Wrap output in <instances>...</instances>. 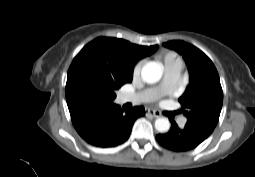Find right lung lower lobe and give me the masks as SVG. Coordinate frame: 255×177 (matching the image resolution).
I'll return each instance as SVG.
<instances>
[{
	"label": "right lung lower lobe",
	"mask_w": 255,
	"mask_h": 177,
	"mask_svg": "<svg viewBox=\"0 0 255 177\" xmlns=\"http://www.w3.org/2000/svg\"><path fill=\"white\" fill-rule=\"evenodd\" d=\"M69 112L75 129L86 142L107 148L129 138L133 123L144 115V108L124 111L113 102L86 100L69 107Z\"/></svg>",
	"instance_id": "1"
}]
</instances>
